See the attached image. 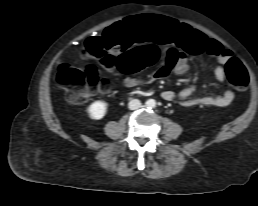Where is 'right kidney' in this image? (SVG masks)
<instances>
[{"label": "right kidney", "mask_w": 258, "mask_h": 206, "mask_svg": "<svg viewBox=\"0 0 258 206\" xmlns=\"http://www.w3.org/2000/svg\"><path fill=\"white\" fill-rule=\"evenodd\" d=\"M107 107L108 104L104 101H96L87 108V112L91 119L100 120L105 116Z\"/></svg>", "instance_id": "1"}]
</instances>
